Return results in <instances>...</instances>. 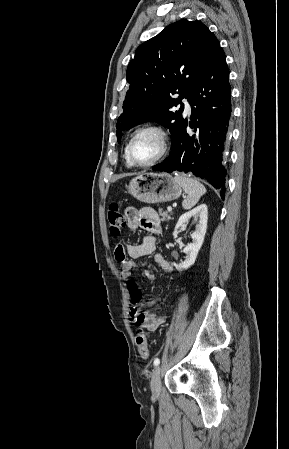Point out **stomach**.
I'll list each match as a JSON object with an SVG mask.
<instances>
[{
  "label": "stomach",
  "instance_id": "obj_1",
  "mask_svg": "<svg viewBox=\"0 0 289 449\" xmlns=\"http://www.w3.org/2000/svg\"><path fill=\"white\" fill-rule=\"evenodd\" d=\"M137 200L148 203L170 202L180 197L181 186L167 173H143L126 186Z\"/></svg>",
  "mask_w": 289,
  "mask_h": 449
}]
</instances>
